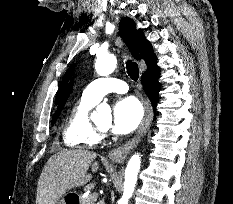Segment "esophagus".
I'll use <instances>...</instances> for the list:
<instances>
[{"label":"esophagus","instance_id":"obj_1","mask_svg":"<svg viewBox=\"0 0 233 204\" xmlns=\"http://www.w3.org/2000/svg\"><path fill=\"white\" fill-rule=\"evenodd\" d=\"M152 117H153L152 107H151L149 100H147L145 102L144 118H143L141 125H140L139 129L137 130L136 134L133 136L132 139H130L125 144L113 149L109 153L110 159H112L113 161H116V162H120V161L124 160L126 158V156L128 155V153L141 141V139L146 134L147 130L149 129V127L151 125Z\"/></svg>","mask_w":233,"mask_h":204}]
</instances>
